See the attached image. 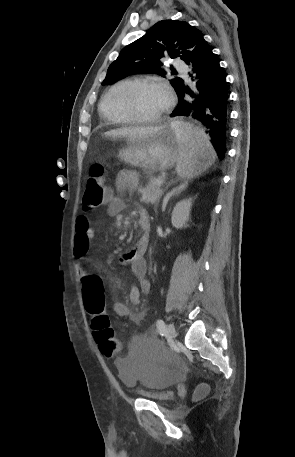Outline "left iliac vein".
I'll list each match as a JSON object with an SVG mask.
<instances>
[{"mask_svg":"<svg viewBox=\"0 0 295 457\" xmlns=\"http://www.w3.org/2000/svg\"><path fill=\"white\" fill-rule=\"evenodd\" d=\"M166 332H167V336H168L169 339L172 340L175 337V327H174V325L172 323L167 325Z\"/></svg>","mask_w":295,"mask_h":457,"instance_id":"obj_1","label":"left iliac vein"}]
</instances>
